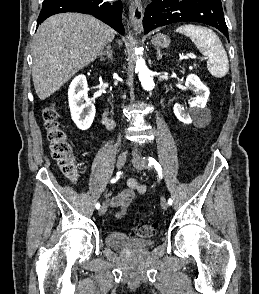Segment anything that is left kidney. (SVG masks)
<instances>
[{"instance_id": "left-kidney-1", "label": "left kidney", "mask_w": 259, "mask_h": 294, "mask_svg": "<svg viewBox=\"0 0 259 294\" xmlns=\"http://www.w3.org/2000/svg\"><path fill=\"white\" fill-rule=\"evenodd\" d=\"M185 86L195 93V97L190 103V108L188 110H185L180 104H175L174 114L179 121L185 124L194 123L198 125L210 92L195 74L187 76Z\"/></svg>"}]
</instances>
